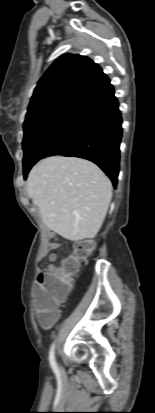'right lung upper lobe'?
<instances>
[{"instance_id": "right-lung-upper-lobe-1", "label": "right lung upper lobe", "mask_w": 155, "mask_h": 413, "mask_svg": "<svg viewBox=\"0 0 155 413\" xmlns=\"http://www.w3.org/2000/svg\"><path fill=\"white\" fill-rule=\"evenodd\" d=\"M109 83L108 77L91 59L64 54L38 82L24 124L60 106L79 105Z\"/></svg>"}]
</instances>
